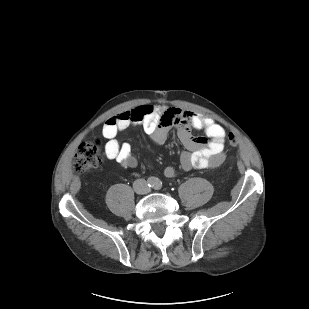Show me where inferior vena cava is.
Masks as SVG:
<instances>
[{"label": "inferior vena cava", "mask_w": 309, "mask_h": 309, "mask_svg": "<svg viewBox=\"0 0 309 309\" xmlns=\"http://www.w3.org/2000/svg\"><path fill=\"white\" fill-rule=\"evenodd\" d=\"M134 191L138 194H147L150 192V188L145 179H137L133 183Z\"/></svg>", "instance_id": "inferior-vena-cava-1"}]
</instances>
